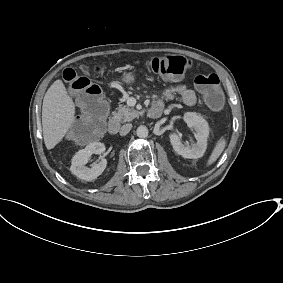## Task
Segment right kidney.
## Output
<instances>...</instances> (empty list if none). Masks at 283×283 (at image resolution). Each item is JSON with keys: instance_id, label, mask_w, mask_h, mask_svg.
Returning a JSON list of instances; mask_svg holds the SVG:
<instances>
[{"instance_id": "obj_1", "label": "right kidney", "mask_w": 283, "mask_h": 283, "mask_svg": "<svg viewBox=\"0 0 283 283\" xmlns=\"http://www.w3.org/2000/svg\"><path fill=\"white\" fill-rule=\"evenodd\" d=\"M105 151V145L100 142H94L79 150L72 158L70 171L80 179L91 181L96 179L105 170L107 160L102 158L98 163L93 164L91 168L85 166L92 154H102Z\"/></svg>"}]
</instances>
